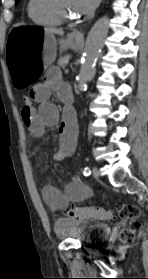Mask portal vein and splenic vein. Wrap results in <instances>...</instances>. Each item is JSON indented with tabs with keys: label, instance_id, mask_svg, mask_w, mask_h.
<instances>
[{
	"label": "portal vein and splenic vein",
	"instance_id": "18ae733b",
	"mask_svg": "<svg viewBox=\"0 0 148 279\" xmlns=\"http://www.w3.org/2000/svg\"><path fill=\"white\" fill-rule=\"evenodd\" d=\"M66 63H68V62H66ZM65 72L67 73V72H68V70H66Z\"/></svg>",
	"mask_w": 148,
	"mask_h": 279
}]
</instances>
